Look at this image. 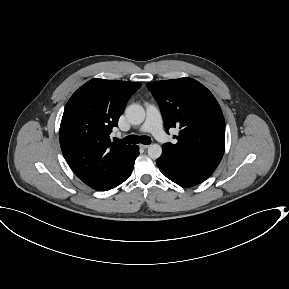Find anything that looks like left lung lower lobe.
Segmentation results:
<instances>
[{"label": "left lung lower lobe", "mask_w": 289, "mask_h": 289, "mask_svg": "<svg viewBox=\"0 0 289 289\" xmlns=\"http://www.w3.org/2000/svg\"><path fill=\"white\" fill-rule=\"evenodd\" d=\"M160 171L174 183L191 187L205 181L216 167L195 161H180L162 153L157 160Z\"/></svg>", "instance_id": "0a47b994"}]
</instances>
